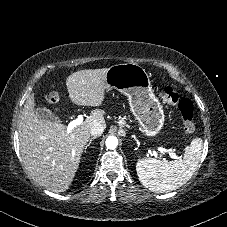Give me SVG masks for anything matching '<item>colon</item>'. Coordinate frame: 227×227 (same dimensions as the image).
Returning <instances> with one entry per match:
<instances>
[{
  "label": "colon",
  "instance_id": "5ec220e1",
  "mask_svg": "<svg viewBox=\"0 0 227 227\" xmlns=\"http://www.w3.org/2000/svg\"><path fill=\"white\" fill-rule=\"evenodd\" d=\"M159 92L164 103L177 105L184 130L186 132H192L194 130L192 102L188 99L181 98L176 89L172 86H161ZM59 97V92L57 90H52L48 94L47 99L51 103L56 104Z\"/></svg>",
  "mask_w": 227,
  "mask_h": 227
}]
</instances>
